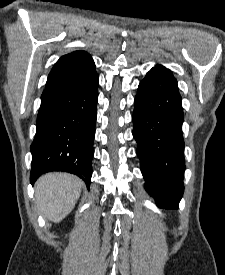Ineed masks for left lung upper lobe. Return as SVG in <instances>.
<instances>
[{"label": "left lung upper lobe", "instance_id": "1", "mask_svg": "<svg viewBox=\"0 0 225 275\" xmlns=\"http://www.w3.org/2000/svg\"><path fill=\"white\" fill-rule=\"evenodd\" d=\"M153 69L158 70V71H160V72H162V73H164V74H167L168 76L174 78V76L172 75V72H171L169 69H167V68H165V67H163V66H161V65H157V66H156L155 68H153ZM174 79H175V78H174Z\"/></svg>", "mask_w": 225, "mask_h": 275}]
</instances>
